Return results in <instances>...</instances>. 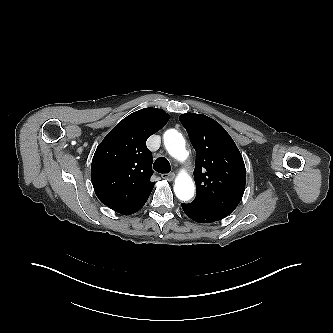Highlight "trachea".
I'll list each match as a JSON object with an SVG mask.
<instances>
[{"label":"trachea","mask_w":333,"mask_h":333,"mask_svg":"<svg viewBox=\"0 0 333 333\" xmlns=\"http://www.w3.org/2000/svg\"><path fill=\"white\" fill-rule=\"evenodd\" d=\"M153 168L155 171L162 174H167L171 170L170 163L165 157L157 158L153 164Z\"/></svg>","instance_id":"3493384b"}]
</instances>
